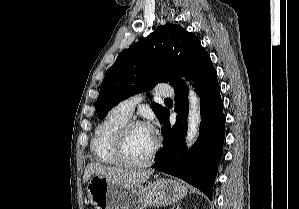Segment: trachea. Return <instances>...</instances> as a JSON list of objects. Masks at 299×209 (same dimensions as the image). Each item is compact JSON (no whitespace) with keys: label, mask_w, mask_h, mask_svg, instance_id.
<instances>
[{"label":"trachea","mask_w":299,"mask_h":209,"mask_svg":"<svg viewBox=\"0 0 299 209\" xmlns=\"http://www.w3.org/2000/svg\"><path fill=\"white\" fill-rule=\"evenodd\" d=\"M165 101H172L170 98H166Z\"/></svg>","instance_id":"1"}]
</instances>
